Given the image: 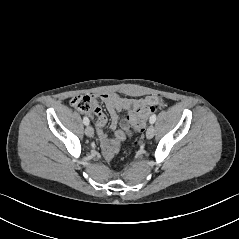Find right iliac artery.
<instances>
[{
    "label": "right iliac artery",
    "mask_w": 239,
    "mask_h": 239,
    "mask_svg": "<svg viewBox=\"0 0 239 239\" xmlns=\"http://www.w3.org/2000/svg\"><path fill=\"white\" fill-rule=\"evenodd\" d=\"M83 123H84L85 125H89V119H88L87 117H84V118H83Z\"/></svg>",
    "instance_id": "1"
}]
</instances>
